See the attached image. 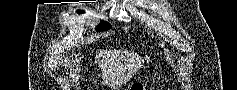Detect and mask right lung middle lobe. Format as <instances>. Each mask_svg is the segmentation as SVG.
Listing matches in <instances>:
<instances>
[{"label":"right lung middle lobe","instance_id":"obj_1","mask_svg":"<svg viewBox=\"0 0 237 90\" xmlns=\"http://www.w3.org/2000/svg\"><path fill=\"white\" fill-rule=\"evenodd\" d=\"M78 13H83V11H78ZM110 28H111V25L108 22L102 21L97 27V32L105 31V30H108Z\"/></svg>","mask_w":237,"mask_h":90}]
</instances>
